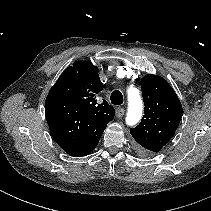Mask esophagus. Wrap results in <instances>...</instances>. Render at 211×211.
Returning <instances> with one entry per match:
<instances>
[{
  "label": "esophagus",
  "instance_id": "esophagus-1",
  "mask_svg": "<svg viewBox=\"0 0 211 211\" xmlns=\"http://www.w3.org/2000/svg\"><path fill=\"white\" fill-rule=\"evenodd\" d=\"M124 113H125V110L123 108H121V107L116 108V117L117 118H122Z\"/></svg>",
  "mask_w": 211,
  "mask_h": 211
}]
</instances>
